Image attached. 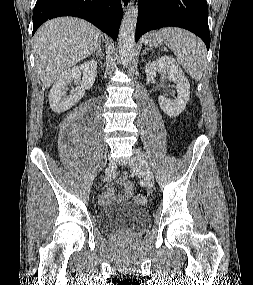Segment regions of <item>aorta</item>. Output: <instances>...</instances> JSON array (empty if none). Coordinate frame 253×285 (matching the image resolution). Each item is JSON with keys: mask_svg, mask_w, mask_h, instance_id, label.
Instances as JSON below:
<instances>
[{"mask_svg": "<svg viewBox=\"0 0 253 285\" xmlns=\"http://www.w3.org/2000/svg\"><path fill=\"white\" fill-rule=\"evenodd\" d=\"M137 19V5L130 6L122 19L119 29V55L123 62H129L134 54Z\"/></svg>", "mask_w": 253, "mask_h": 285, "instance_id": "762f6f07", "label": "aorta"}]
</instances>
